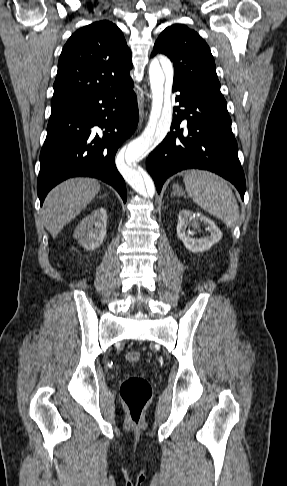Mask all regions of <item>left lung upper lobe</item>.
<instances>
[{"label":"left lung upper lobe","mask_w":287,"mask_h":486,"mask_svg":"<svg viewBox=\"0 0 287 486\" xmlns=\"http://www.w3.org/2000/svg\"><path fill=\"white\" fill-rule=\"evenodd\" d=\"M158 53L165 54L173 62L174 80L190 84L212 104L227 111L214 58L197 32L182 24L167 27L155 42L151 56Z\"/></svg>","instance_id":"1"}]
</instances>
